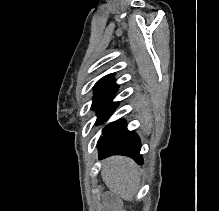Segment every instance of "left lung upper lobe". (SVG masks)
<instances>
[{
    "mask_svg": "<svg viewBox=\"0 0 219 211\" xmlns=\"http://www.w3.org/2000/svg\"><path fill=\"white\" fill-rule=\"evenodd\" d=\"M94 88L95 96L91 107L99 113L96 120V124L99 125L112 115L119 104V102H112L118 89V85L115 84L112 74H109L101 78L95 84ZM120 121L121 120L119 119L108 124L103 129V134L106 135L111 132Z\"/></svg>",
    "mask_w": 219,
    "mask_h": 211,
    "instance_id": "5c2ea615",
    "label": "left lung upper lobe"
}]
</instances>
